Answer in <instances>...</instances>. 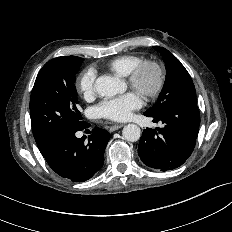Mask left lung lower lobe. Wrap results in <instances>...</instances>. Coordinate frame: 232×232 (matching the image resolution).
Segmentation results:
<instances>
[{
    "label": "left lung lower lobe",
    "instance_id": "obj_1",
    "mask_svg": "<svg viewBox=\"0 0 232 232\" xmlns=\"http://www.w3.org/2000/svg\"><path fill=\"white\" fill-rule=\"evenodd\" d=\"M153 122H162L163 128L143 131L138 155L150 168L160 171L181 166L192 154L200 125L197 105L179 102L159 113L144 112Z\"/></svg>",
    "mask_w": 232,
    "mask_h": 232
}]
</instances>
